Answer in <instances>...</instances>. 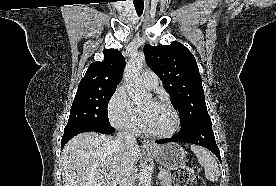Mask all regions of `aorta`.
Returning <instances> with one entry per match:
<instances>
[{
	"label": "aorta",
	"instance_id": "762f6f07",
	"mask_svg": "<svg viewBox=\"0 0 276 186\" xmlns=\"http://www.w3.org/2000/svg\"><path fill=\"white\" fill-rule=\"evenodd\" d=\"M145 63L143 53H135L128 61L124 71L125 87L135 104H139L150 99L146 93L141 78L142 67ZM152 174L147 167L140 173L139 186H151Z\"/></svg>",
	"mask_w": 276,
	"mask_h": 186
}]
</instances>
